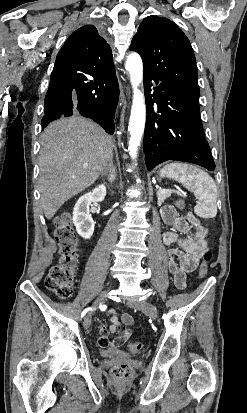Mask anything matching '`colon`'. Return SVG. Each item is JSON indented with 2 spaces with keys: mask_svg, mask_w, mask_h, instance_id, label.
I'll return each mask as SVG.
<instances>
[{
  "mask_svg": "<svg viewBox=\"0 0 247 413\" xmlns=\"http://www.w3.org/2000/svg\"><path fill=\"white\" fill-rule=\"evenodd\" d=\"M178 207H182L183 201H170ZM54 234L59 245L60 260L50 267L45 277V287L54 292L60 299H68L72 294L71 286L76 282L77 260H78V237L73 229L71 215L62 213L55 219ZM204 263H209L213 258V253L208 249V255L202 257ZM208 266L202 264L199 270L203 273L208 271ZM128 348L132 353L141 349V344L137 341H130ZM114 381H131L132 370L128 365H120L113 369Z\"/></svg>",
  "mask_w": 247,
  "mask_h": 413,
  "instance_id": "5ec220e1",
  "label": "colon"
}]
</instances>
